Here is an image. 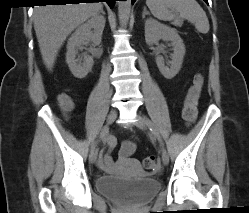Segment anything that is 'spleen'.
<instances>
[{
  "label": "spleen",
  "mask_w": 249,
  "mask_h": 213,
  "mask_svg": "<svg viewBox=\"0 0 249 213\" xmlns=\"http://www.w3.org/2000/svg\"><path fill=\"white\" fill-rule=\"evenodd\" d=\"M146 5L159 20L187 19L200 33L209 31L206 13L196 0H146Z\"/></svg>",
  "instance_id": "spleen-1"
}]
</instances>
